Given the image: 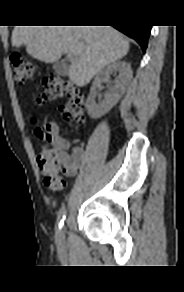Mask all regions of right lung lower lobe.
<instances>
[{
  "label": "right lung lower lobe",
  "instance_id": "98d812e1",
  "mask_svg": "<svg viewBox=\"0 0 184 292\" xmlns=\"http://www.w3.org/2000/svg\"><path fill=\"white\" fill-rule=\"evenodd\" d=\"M116 29L123 32L127 36L136 40L143 51L147 48L148 38L150 35L151 26L149 25H114Z\"/></svg>",
  "mask_w": 184,
  "mask_h": 292
}]
</instances>
